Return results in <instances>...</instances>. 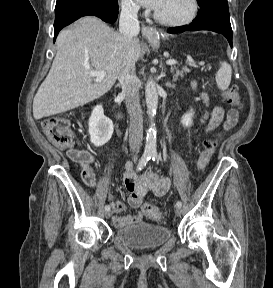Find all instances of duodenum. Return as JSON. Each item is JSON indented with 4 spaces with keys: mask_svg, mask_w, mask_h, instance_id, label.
I'll list each match as a JSON object with an SVG mask.
<instances>
[{
    "mask_svg": "<svg viewBox=\"0 0 273 288\" xmlns=\"http://www.w3.org/2000/svg\"><path fill=\"white\" fill-rule=\"evenodd\" d=\"M115 113L117 115L118 118H122V115L119 113V111L117 110V108L115 109Z\"/></svg>",
    "mask_w": 273,
    "mask_h": 288,
    "instance_id": "1",
    "label": "duodenum"
}]
</instances>
